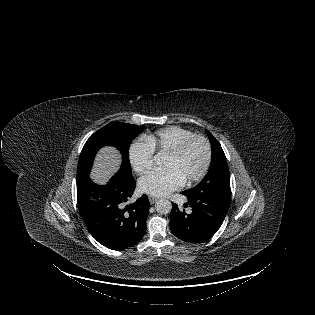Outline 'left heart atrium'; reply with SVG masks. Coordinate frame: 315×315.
Wrapping results in <instances>:
<instances>
[{
    "label": "left heart atrium",
    "instance_id": "left-heart-atrium-1",
    "mask_svg": "<svg viewBox=\"0 0 315 315\" xmlns=\"http://www.w3.org/2000/svg\"><path fill=\"white\" fill-rule=\"evenodd\" d=\"M185 178L172 167L155 168L139 181L141 192L153 196H165L181 187Z\"/></svg>",
    "mask_w": 315,
    "mask_h": 315
}]
</instances>
